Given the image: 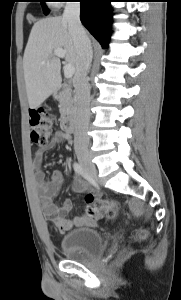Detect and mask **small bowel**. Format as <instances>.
<instances>
[{
    "label": "small bowel",
    "instance_id": "small-bowel-1",
    "mask_svg": "<svg viewBox=\"0 0 181 300\" xmlns=\"http://www.w3.org/2000/svg\"><path fill=\"white\" fill-rule=\"evenodd\" d=\"M61 141H71V136L62 130H58L53 134L51 141L45 149L38 150L34 156V165L36 167L35 180L40 190L42 207L46 217L51 221L61 233H65L74 227L93 226L98 220L86 215L75 216L71 219L67 218L68 213L73 208V202L70 199L63 201L61 205L54 203V198L58 194L61 185L64 182V175L60 170H53L50 178H46L45 172L41 169L43 156L47 150L53 149L57 143ZM75 192L85 191V184L82 180L76 179L73 183ZM96 193H88L85 195L86 202L96 199Z\"/></svg>",
    "mask_w": 181,
    "mask_h": 300
}]
</instances>
